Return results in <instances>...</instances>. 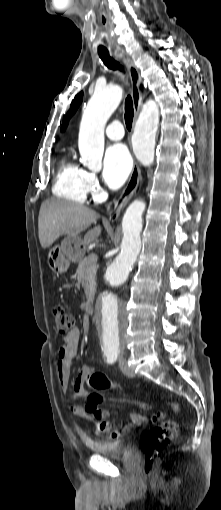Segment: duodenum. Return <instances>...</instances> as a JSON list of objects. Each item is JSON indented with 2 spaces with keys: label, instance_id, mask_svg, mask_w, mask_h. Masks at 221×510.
Here are the masks:
<instances>
[{
  "label": "duodenum",
  "instance_id": "410a0bca",
  "mask_svg": "<svg viewBox=\"0 0 221 510\" xmlns=\"http://www.w3.org/2000/svg\"><path fill=\"white\" fill-rule=\"evenodd\" d=\"M96 297L92 296L84 305V310L87 314H91L94 311Z\"/></svg>",
  "mask_w": 221,
  "mask_h": 510
}]
</instances>
